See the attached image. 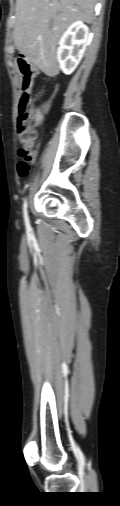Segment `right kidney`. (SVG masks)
Wrapping results in <instances>:
<instances>
[{
  "instance_id": "obj_1",
  "label": "right kidney",
  "mask_w": 120,
  "mask_h": 506,
  "mask_svg": "<svg viewBox=\"0 0 120 506\" xmlns=\"http://www.w3.org/2000/svg\"><path fill=\"white\" fill-rule=\"evenodd\" d=\"M89 42V28L82 21L72 23L62 35L57 60L65 74H71L81 61Z\"/></svg>"
}]
</instances>
